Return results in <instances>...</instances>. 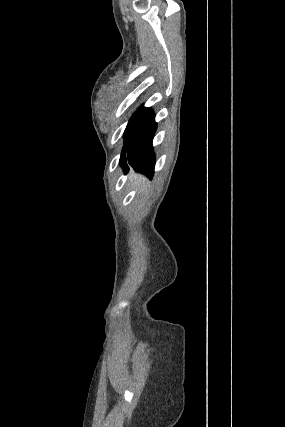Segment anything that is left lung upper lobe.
<instances>
[{
    "label": "left lung upper lobe",
    "instance_id": "5c2ea615",
    "mask_svg": "<svg viewBox=\"0 0 285 427\" xmlns=\"http://www.w3.org/2000/svg\"><path fill=\"white\" fill-rule=\"evenodd\" d=\"M143 109H144L143 106L139 107V109L133 114V116L129 120L128 125L143 111Z\"/></svg>",
    "mask_w": 285,
    "mask_h": 427
}]
</instances>
